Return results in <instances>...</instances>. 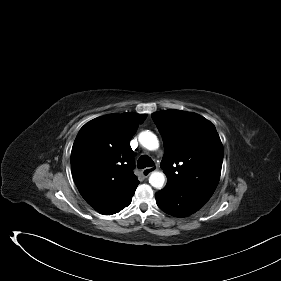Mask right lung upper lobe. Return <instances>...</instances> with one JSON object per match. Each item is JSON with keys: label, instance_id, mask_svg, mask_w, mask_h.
<instances>
[{"label": "right lung upper lobe", "instance_id": "1", "mask_svg": "<svg viewBox=\"0 0 281 281\" xmlns=\"http://www.w3.org/2000/svg\"><path fill=\"white\" fill-rule=\"evenodd\" d=\"M145 114H109L86 123L71 153L78 190L97 212L112 215L131 203L139 184L130 140Z\"/></svg>", "mask_w": 281, "mask_h": 281}]
</instances>
